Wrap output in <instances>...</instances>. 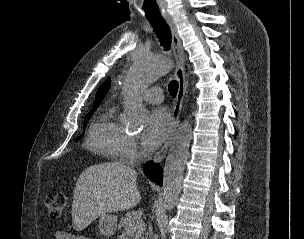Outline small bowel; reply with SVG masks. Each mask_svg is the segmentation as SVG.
<instances>
[{"mask_svg":"<svg viewBox=\"0 0 304 239\" xmlns=\"http://www.w3.org/2000/svg\"><path fill=\"white\" fill-rule=\"evenodd\" d=\"M55 239H75V236L66 231H56L54 234Z\"/></svg>","mask_w":304,"mask_h":239,"instance_id":"small-bowel-1","label":"small bowel"}]
</instances>
